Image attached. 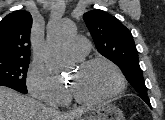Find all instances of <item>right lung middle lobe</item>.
Segmentation results:
<instances>
[{
  "label": "right lung middle lobe",
  "instance_id": "1",
  "mask_svg": "<svg viewBox=\"0 0 165 120\" xmlns=\"http://www.w3.org/2000/svg\"><path fill=\"white\" fill-rule=\"evenodd\" d=\"M30 59L0 58V85L28 93L26 74Z\"/></svg>",
  "mask_w": 165,
  "mask_h": 120
}]
</instances>
